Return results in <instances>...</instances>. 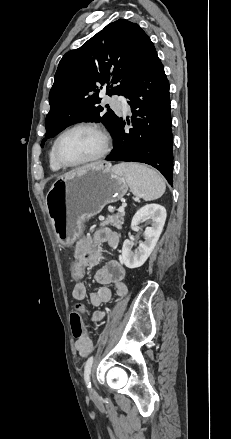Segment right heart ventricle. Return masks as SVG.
I'll return each mask as SVG.
<instances>
[{
	"label": "right heart ventricle",
	"instance_id": "e07e8e85",
	"mask_svg": "<svg viewBox=\"0 0 231 439\" xmlns=\"http://www.w3.org/2000/svg\"><path fill=\"white\" fill-rule=\"evenodd\" d=\"M49 165L53 171H59V170L63 169V166H61L57 162V160L54 156V143L52 144L50 151H49Z\"/></svg>",
	"mask_w": 231,
	"mask_h": 439
}]
</instances>
